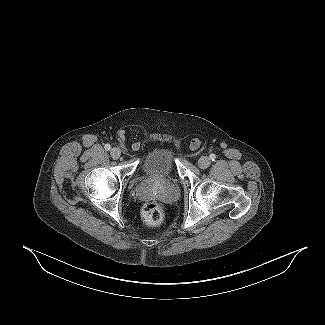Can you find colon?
Here are the masks:
<instances>
[{
    "instance_id": "5ec220e1",
    "label": "colon",
    "mask_w": 325,
    "mask_h": 325,
    "mask_svg": "<svg viewBox=\"0 0 325 325\" xmlns=\"http://www.w3.org/2000/svg\"><path fill=\"white\" fill-rule=\"evenodd\" d=\"M197 146V143H194ZM142 217L150 225H157L163 219V209L156 202H148L142 208Z\"/></svg>"
}]
</instances>
